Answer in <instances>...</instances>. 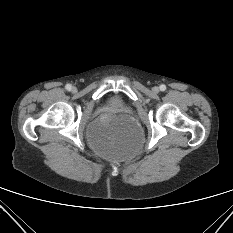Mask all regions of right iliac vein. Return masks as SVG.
<instances>
[{"mask_svg":"<svg viewBox=\"0 0 233 233\" xmlns=\"http://www.w3.org/2000/svg\"><path fill=\"white\" fill-rule=\"evenodd\" d=\"M71 91H72V92H76V91H77L76 87H72V88H71Z\"/></svg>","mask_w":233,"mask_h":233,"instance_id":"right-iliac-vein-1","label":"right iliac vein"}]
</instances>
